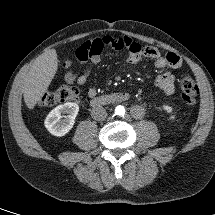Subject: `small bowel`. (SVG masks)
Listing matches in <instances>:
<instances>
[{"instance_id":"1","label":"small bowel","mask_w":215,"mask_h":215,"mask_svg":"<svg viewBox=\"0 0 215 215\" xmlns=\"http://www.w3.org/2000/svg\"><path fill=\"white\" fill-rule=\"evenodd\" d=\"M105 48L119 51L126 50L128 52L127 61L131 64H137L147 59L152 61L157 69L165 67L177 69L182 65L181 58L173 52L162 55L157 48L152 46L142 47L128 36L112 37L106 35L86 41L76 50L75 56L79 62V69L88 60L90 66L83 73L67 71L65 73L66 82L69 84L76 83L79 86L84 85L91 76L93 68L101 61V55ZM155 85L166 96H172L175 92L174 74L169 70L160 73L155 80ZM96 94L97 90L95 87L91 86L87 89V95L90 98L95 97Z\"/></svg>"}]
</instances>
